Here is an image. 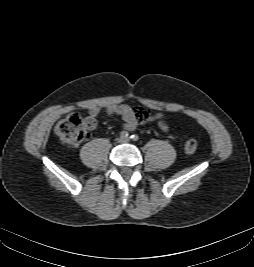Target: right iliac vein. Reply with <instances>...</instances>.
Returning a JSON list of instances; mask_svg holds the SVG:
<instances>
[{
    "instance_id": "obj_1",
    "label": "right iliac vein",
    "mask_w": 254,
    "mask_h": 267,
    "mask_svg": "<svg viewBox=\"0 0 254 267\" xmlns=\"http://www.w3.org/2000/svg\"><path fill=\"white\" fill-rule=\"evenodd\" d=\"M122 140H123V138H118V139H117L118 143H121Z\"/></svg>"
}]
</instances>
